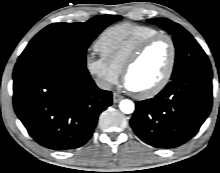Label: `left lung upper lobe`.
Listing matches in <instances>:
<instances>
[{
  "label": "left lung upper lobe",
  "mask_w": 220,
  "mask_h": 173,
  "mask_svg": "<svg viewBox=\"0 0 220 173\" xmlns=\"http://www.w3.org/2000/svg\"><path fill=\"white\" fill-rule=\"evenodd\" d=\"M148 22L160 26L173 36L176 58L171 79L187 72L211 69L210 62L203 49L182 26L163 18L148 19Z\"/></svg>",
  "instance_id": "left-lung-upper-lobe-1"
}]
</instances>
